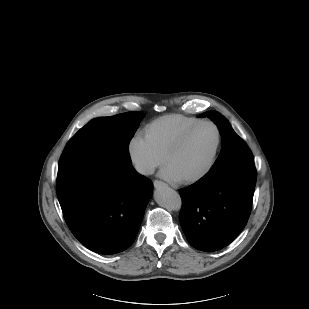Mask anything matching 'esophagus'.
Instances as JSON below:
<instances>
[{"label": "esophagus", "instance_id": "34e87169", "mask_svg": "<svg viewBox=\"0 0 309 309\" xmlns=\"http://www.w3.org/2000/svg\"><path fill=\"white\" fill-rule=\"evenodd\" d=\"M153 184H154V187H155V188H159V187H162V186H166V184H165L164 182L160 181V180H155V181L153 182Z\"/></svg>", "mask_w": 309, "mask_h": 309}]
</instances>
